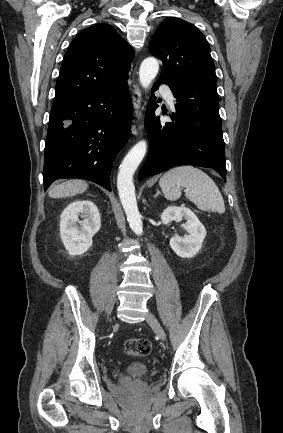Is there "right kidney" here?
Returning a JSON list of instances; mask_svg holds the SVG:
<instances>
[{
	"label": "right kidney",
	"instance_id": "1",
	"mask_svg": "<svg viewBox=\"0 0 283 433\" xmlns=\"http://www.w3.org/2000/svg\"><path fill=\"white\" fill-rule=\"evenodd\" d=\"M79 217L83 220H79ZM101 219L97 206L89 200L70 203L61 214L60 237L70 255H81L92 245Z\"/></svg>",
	"mask_w": 283,
	"mask_h": 433
}]
</instances>
